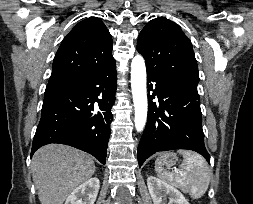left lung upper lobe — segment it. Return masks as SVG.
Returning a JSON list of instances; mask_svg holds the SVG:
<instances>
[{
	"label": "left lung upper lobe",
	"instance_id": "left-lung-upper-lobe-1",
	"mask_svg": "<svg viewBox=\"0 0 253 204\" xmlns=\"http://www.w3.org/2000/svg\"><path fill=\"white\" fill-rule=\"evenodd\" d=\"M136 49L145 59L147 73L197 89L199 74L191 41L173 21L151 20L140 32Z\"/></svg>",
	"mask_w": 253,
	"mask_h": 204
}]
</instances>
